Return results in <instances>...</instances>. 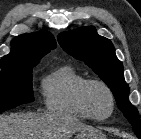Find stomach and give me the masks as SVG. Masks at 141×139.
Wrapping results in <instances>:
<instances>
[{"label":"stomach","instance_id":"1","mask_svg":"<svg viewBox=\"0 0 141 139\" xmlns=\"http://www.w3.org/2000/svg\"><path fill=\"white\" fill-rule=\"evenodd\" d=\"M75 139H106V136L102 134L100 131L90 128L86 130L80 131Z\"/></svg>","mask_w":141,"mask_h":139}]
</instances>
